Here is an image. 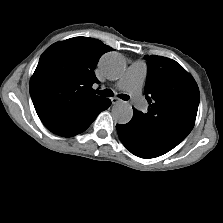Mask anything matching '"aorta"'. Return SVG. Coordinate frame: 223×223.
Returning <instances> with one entry per match:
<instances>
[{"label":"aorta","mask_w":223,"mask_h":223,"mask_svg":"<svg viewBox=\"0 0 223 223\" xmlns=\"http://www.w3.org/2000/svg\"><path fill=\"white\" fill-rule=\"evenodd\" d=\"M99 66L108 79L114 80L125 70V61L116 53H107L100 59ZM111 115L116 123L126 124L132 119V106L120 101L112 107Z\"/></svg>","instance_id":"aorta-1"}]
</instances>
